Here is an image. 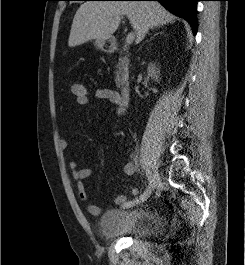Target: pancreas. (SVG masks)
I'll return each instance as SVG.
<instances>
[{
    "label": "pancreas",
    "instance_id": "obj_1",
    "mask_svg": "<svg viewBox=\"0 0 245 265\" xmlns=\"http://www.w3.org/2000/svg\"><path fill=\"white\" fill-rule=\"evenodd\" d=\"M128 64V58L124 57L122 60L120 59L119 63L116 65L115 83L117 87H120L123 84V80L128 77Z\"/></svg>",
    "mask_w": 245,
    "mask_h": 265
}]
</instances>
